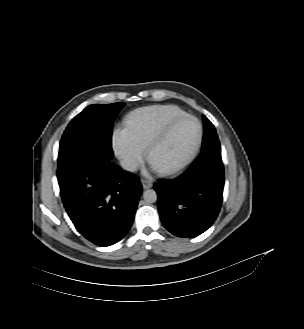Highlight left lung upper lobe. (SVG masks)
<instances>
[{
    "instance_id": "1",
    "label": "left lung upper lobe",
    "mask_w": 304,
    "mask_h": 329,
    "mask_svg": "<svg viewBox=\"0 0 304 329\" xmlns=\"http://www.w3.org/2000/svg\"><path fill=\"white\" fill-rule=\"evenodd\" d=\"M203 120H204V138H203L202 148L208 145L212 139L217 137V133L213 124L206 118V116H203Z\"/></svg>"
}]
</instances>
